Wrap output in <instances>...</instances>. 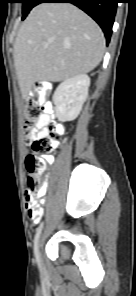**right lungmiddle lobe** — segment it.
<instances>
[{"label": "right lung middle lobe", "mask_w": 136, "mask_h": 296, "mask_svg": "<svg viewBox=\"0 0 136 296\" xmlns=\"http://www.w3.org/2000/svg\"><path fill=\"white\" fill-rule=\"evenodd\" d=\"M40 1L41 0H20V2L23 3V9H22L23 17H22V20H24L26 18V16L30 12V10L33 7H35L36 5H38L40 3Z\"/></svg>", "instance_id": "obj_1"}]
</instances>
